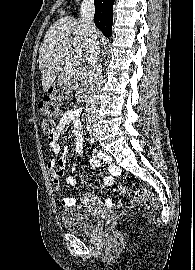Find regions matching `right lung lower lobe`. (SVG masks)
Masks as SVG:
<instances>
[{
	"label": "right lung lower lobe",
	"mask_w": 195,
	"mask_h": 270,
	"mask_svg": "<svg viewBox=\"0 0 195 270\" xmlns=\"http://www.w3.org/2000/svg\"><path fill=\"white\" fill-rule=\"evenodd\" d=\"M114 0H95V25L105 36H111Z\"/></svg>",
	"instance_id": "1"
}]
</instances>
